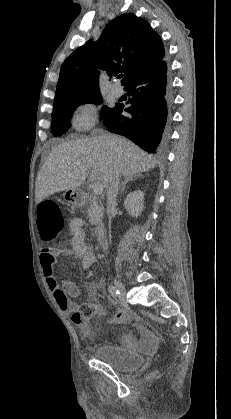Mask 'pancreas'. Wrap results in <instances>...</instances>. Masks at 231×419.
Segmentation results:
<instances>
[{
    "label": "pancreas",
    "mask_w": 231,
    "mask_h": 419,
    "mask_svg": "<svg viewBox=\"0 0 231 419\" xmlns=\"http://www.w3.org/2000/svg\"><path fill=\"white\" fill-rule=\"evenodd\" d=\"M87 212L91 225L99 224L103 217V207L96 196L90 195L87 200Z\"/></svg>",
    "instance_id": "pancreas-1"
}]
</instances>
